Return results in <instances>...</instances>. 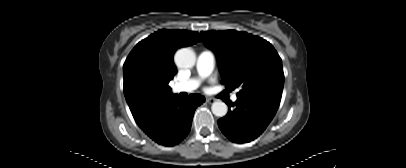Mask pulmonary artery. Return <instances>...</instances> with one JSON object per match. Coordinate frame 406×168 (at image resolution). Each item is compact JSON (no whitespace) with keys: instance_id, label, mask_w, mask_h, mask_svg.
Masks as SVG:
<instances>
[{"instance_id":"1","label":"pulmonary artery","mask_w":406,"mask_h":168,"mask_svg":"<svg viewBox=\"0 0 406 168\" xmlns=\"http://www.w3.org/2000/svg\"><path fill=\"white\" fill-rule=\"evenodd\" d=\"M215 67V55L212 51L209 50H204L198 55L197 59V77H193L190 79H187L182 82H178L172 86V91L174 93H182V92H192L196 90L202 79L207 77L208 75L211 74ZM232 100L236 101L237 100V95L234 94L232 95Z\"/></svg>"}]
</instances>
